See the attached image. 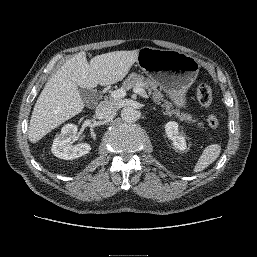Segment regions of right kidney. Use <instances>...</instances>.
Instances as JSON below:
<instances>
[{"label":"right kidney","mask_w":257,"mask_h":257,"mask_svg":"<svg viewBox=\"0 0 257 257\" xmlns=\"http://www.w3.org/2000/svg\"><path fill=\"white\" fill-rule=\"evenodd\" d=\"M77 133V125L66 124L61 132L53 140L52 153L61 159L72 160L88 154L91 146L87 143L71 145L74 135Z\"/></svg>","instance_id":"right-kidney-1"}]
</instances>
